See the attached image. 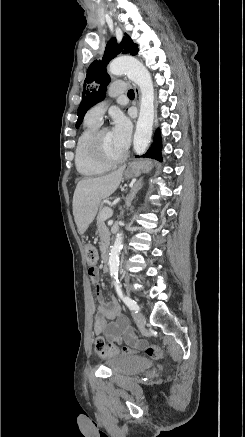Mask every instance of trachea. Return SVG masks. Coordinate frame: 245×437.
<instances>
[{
	"label": "trachea",
	"mask_w": 245,
	"mask_h": 437,
	"mask_svg": "<svg viewBox=\"0 0 245 437\" xmlns=\"http://www.w3.org/2000/svg\"><path fill=\"white\" fill-rule=\"evenodd\" d=\"M127 95H128V96H134V91H133L132 89L129 90L128 93H127Z\"/></svg>",
	"instance_id": "obj_1"
}]
</instances>
